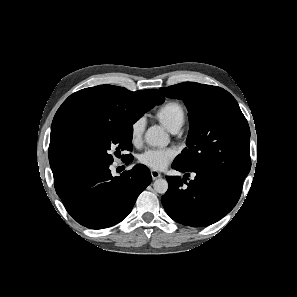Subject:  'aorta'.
<instances>
[{
	"label": "aorta",
	"mask_w": 297,
	"mask_h": 297,
	"mask_svg": "<svg viewBox=\"0 0 297 297\" xmlns=\"http://www.w3.org/2000/svg\"><path fill=\"white\" fill-rule=\"evenodd\" d=\"M145 141L152 147H163L169 142V137L160 126H152L145 133ZM157 193L164 194L168 190V182L165 179H157L153 184Z\"/></svg>",
	"instance_id": "762f6f07"
}]
</instances>
